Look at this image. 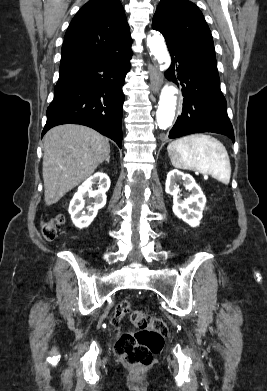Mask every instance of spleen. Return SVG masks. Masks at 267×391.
<instances>
[{
	"label": "spleen",
	"mask_w": 267,
	"mask_h": 391,
	"mask_svg": "<svg viewBox=\"0 0 267 391\" xmlns=\"http://www.w3.org/2000/svg\"><path fill=\"white\" fill-rule=\"evenodd\" d=\"M174 167L209 174L228 184L231 177L230 159L224 145L207 134H192L174 140L167 146Z\"/></svg>",
	"instance_id": "spleen-1"
}]
</instances>
